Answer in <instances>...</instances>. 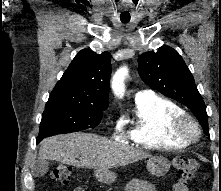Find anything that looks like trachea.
I'll return each mask as SVG.
<instances>
[{
    "mask_svg": "<svg viewBox=\"0 0 221 191\" xmlns=\"http://www.w3.org/2000/svg\"><path fill=\"white\" fill-rule=\"evenodd\" d=\"M124 23H127L128 21H123Z\"/></svg>",
    "mask_w": 221,
    "mask_h": 191,
    "instance_id": "trachea-1",
    "label": "trachea"
}]
</instances>
